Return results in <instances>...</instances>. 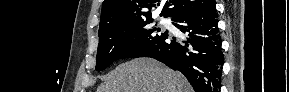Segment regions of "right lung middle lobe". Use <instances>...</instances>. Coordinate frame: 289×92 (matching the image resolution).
<instances>
[{"label": "right lung middle lobe", "mask_w": 289, "mask_h": 92, "mask_svg": "<svg viewBox=\"0 0 289 92\" xmlns=\"http://www.w3.org/2000/svg\"><path fill=\"white\" fill-rule=\"evenodd\" d=\"M152 18L119 22L99 31L96 70L101 71L117 59L136 57L144 49L168 36L158 35Z\"/></svg>", "instance_id": "right-lung-middle-lobe-1"}]
</instances>
